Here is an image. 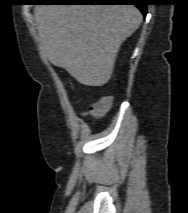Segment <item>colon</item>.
Wrapping results in <instances>:
<instances>
[{
  "label": "colon",
  "mask_w": 188,
  "mask_h": 213,
  "mask_svg": "<svg viewBox=\"0 0 188 213\" xmlns=\"http://www.w3.org/2000/svg\"><path fill=\"white\" fill-rule=\"evenodd\" d=\"M111 104L112 98L110 96H103L91 104L89 113L94 116H101L110 109Z\"/></svg>",
  "instance_id": "colon-1"
}]
</instances>
